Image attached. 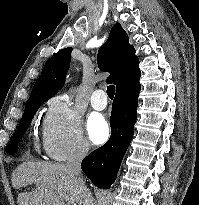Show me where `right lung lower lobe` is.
<instances>
[{
  "label": "right lung lower lobe",
  "instance_id": "1",
  "mask_svg": "<svg viewBox=\"0 0 199 205\" xmlns=\"http://www.w3.org/2000/svg\"><path fill=\"white\" fill-rule=\"evenodd\" d=\"M139 79L140 75L117 89L110 117L111 137L81 163L83 172L99 188L108 189L115 181L122 158L133 137L141 88Z\"/></svg>",
  "mask_w": 199,
  "mask_h": 205
}]
</instances>
